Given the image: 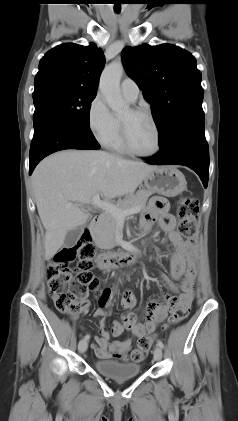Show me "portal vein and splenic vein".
<instances>
[{
	"mask_svg": "<svg viewBox=\"0 0 238 421\" xmlns=\"http://www.w3.org/2000/svg\"><path fill=\"white\" fill-rule=\"evenodd\" d=\"M82 204L92 203L93 205L111 213L118 220H123L126 216L140 212L139 208H129L125 210L119 209L116 205L100 200L99 194H95L91 200L82 201ZM74 204L68 203L67 207H72Z\"/></svg>",
	"mask_w": 238,
	"mask_h": 421,
	"instance_id": "1",
	"label": "portal vein and splenic vein"
}]
</instances>
